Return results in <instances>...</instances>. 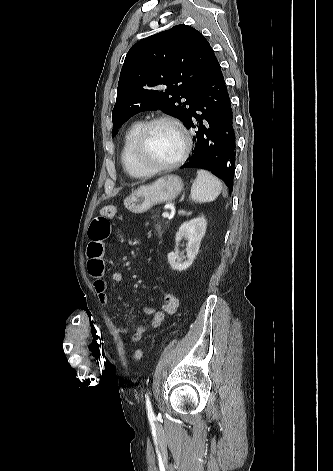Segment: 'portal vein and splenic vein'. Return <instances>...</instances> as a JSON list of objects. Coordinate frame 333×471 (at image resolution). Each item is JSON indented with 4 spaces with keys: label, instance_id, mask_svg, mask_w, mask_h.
<instances>
[{
    "label": "portal vein and splenic vein",
    "instance_id": "portal-vein-and-splenic-vein-1",
    "mask_svg": "<svg viewBox=\"0 0 333 471\" xmlns=\"http://www.w3.org/2000/svg\"><path fill=\"white\" fill-rule=\"evenodd\" d=\"M162 217L163 218H169V213L168 212H163Z\"/></svg>",
    "mask_w": 333,
    "mask_h": 471
}]
</instances>
